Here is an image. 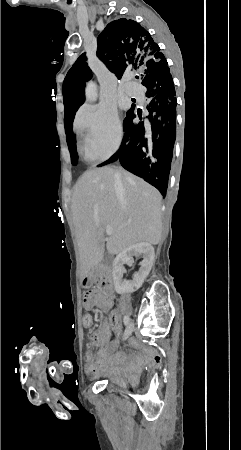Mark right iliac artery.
<instances>
[{
    "instance_id": "1",
    "label": "right iliac artery",
    "mask_w": 241,
    "mask_h": 450,
    "mask_svg": "<svg viewBox=\"0 0 241 450\" xmlns=\"http://www.w3.org/2000/svg\"><path fill=\"white\" fill-rule=\"evenodd\" d=\"M128 323H129V317L126 316V317H124V324L128 325Z\"/></svg>"
}]
</instances>
